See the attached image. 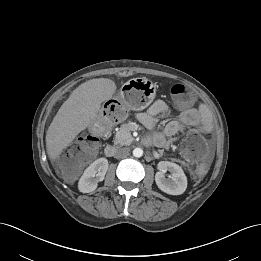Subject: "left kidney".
Returning <instances> with one entry per match:
<instances>
[{"label":"left kidney","instance_id":"1","mask_svg":"<svg viewBox=\"0 0 261 261\" xmlns=\"http://www.w3.org/2000/svg\"><path fill=\"white\" fill-rule=\"evenodd\" d=\"M159 171L155 174V182L160 190L170 195H181L187 188V177L183 169L176 163L161 161L158 163ZM169 171V178L165 172Z\"/></svg>","mask_w":261,"mask_h":261}]
</instances>
